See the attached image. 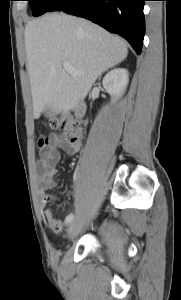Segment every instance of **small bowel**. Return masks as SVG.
I'll use <instances>...</instances> for the list:
<instances>
[{
  "instance_id": "small-bowel-1",
  "label": "small bowel",
  "mask_w": 181,
  "mask_h": 300,
  "mask_svg": "<svg viewBox=\"0 0 181 300\" xmlns=\"http://www.w3.org/2000/svg\"><path fill=\"white\" fill-rule=\"evenodd\" d=\"M65 146L62 138L56 134H51L46 141V144L41 150V158L36 165V178L38 185V194L43 209V214L48 222L49 227L59 233L63 229V223L58 220L53 213V210L47 207L50 202V197L47 191L56 186L55 176L57 174V164L61 159V149ZM79 150L77 145L71 146L69 152L76 154Z\"/></svg>"
}]
</instances>
